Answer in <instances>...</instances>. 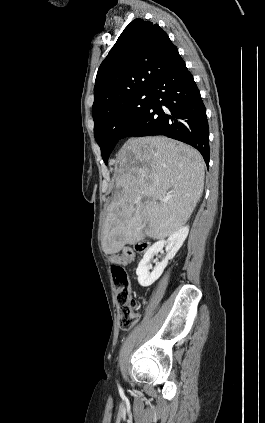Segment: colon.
<instances>
[{
  "label": "colon",
  "instance_id": "colon-1",
  "mask_svg": "<svg viewBox=\"0 0 265 423\" xmlns=\"http://www.w3.org/2000/svg\"><path fill=\"white\" fill-rule=\"evenodd\" d=\"M148 247L149 243L139 242L132 248H124L120 253L113 255L111 258V273L117 288L119 325L123 330L132 328L138 319V305L132 296L129 276L124 266L134 259L136 252H144Z\"/></svg>",
  "mask_w": 265,
  "mask_h": 423
}]
</instances>
